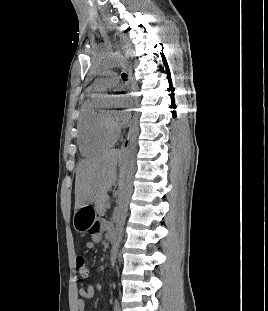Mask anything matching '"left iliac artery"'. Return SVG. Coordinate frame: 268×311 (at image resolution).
Wrapping results in <instances>:
<instances>
[{"label":"left iliac artery","mask_w":268,"mask_h":311,"mask_svg":"<svg viewBox=\"0 0 268 311\" xmlns=\"http://www.w3.org/2000/svg\"><path fill=\"white\" fill-rule=\"evenodd\" d=\"M114 311H120L118 300L115 299Z\"/></svg>","instance_id":"44dca946"}]
</instances>
